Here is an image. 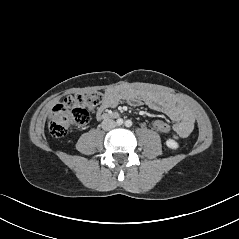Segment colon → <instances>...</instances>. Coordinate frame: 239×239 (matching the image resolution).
Listing matches in <instances>:
<instances>
[{
  "mask_svg": "<svg viewBox=\"0 0 239 239\" xmlns=\"http://www.w3.org/2000/svg\"><path fill=\"white\" fill-rule=\"evenodd\" d=\"M102 100V94L97 91L65 97L51 112L49 132L54 137H63L71 128L86 125L90 112L100 106ZM151 126L156 134L165 135L171 129V122L165 116H158L152 120Z\"/></svg>",
  "mask_w": 239,
  "mask_h": 239,
  "instance_id": "colon-1",
  "label": "colon"
}]
</instances>
